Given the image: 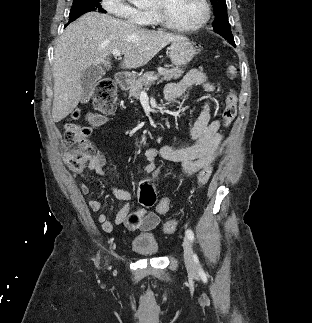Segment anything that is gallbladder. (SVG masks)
Returning <instances> with one entry per match:
<instances>
[{
  "mask_svg": "<svg viewBox=\"0 0 312 323\" xmlns=\"http://www.w3.org/2000/svg\"><path fill=\"white\" fill-rule=\"evenodd\" d=\"M101 76H104V72L98 66H89V68L83 70L81 76V86L83 88L82 102H89L92 92H94L95 84L97 80H100Z\"/></svg>",
  "mask_w": 312,
  "mask_h": 323,
  "instance_id": "bac80fb5",
  "label": "gallbladder"
}]
</instances>
